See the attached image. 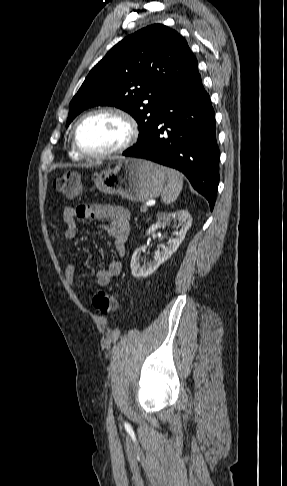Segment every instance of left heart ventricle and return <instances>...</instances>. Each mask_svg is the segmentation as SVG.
Wrapping results in <instances>:
<instances>
[{
	"instance_id": "left-heart-ventricle-1",
	"label": "left heart ventricle",
	"mask_w": 287,
	"mask_h": 486,
	"mask_svg": "<svg viewBox=\"0 0 287 486\" xmlns=\"http://www.w3.org/2000/svg\"><path fill=\"white\" fill-rule=\"evenodd\" d=\"M127 127L113 114H98L85 120L78 131V141L89 152H103L123 143Z\"/></svg>"
}]
</instances>
